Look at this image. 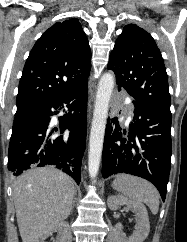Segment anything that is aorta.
I'll return each mask as SVG.
<instances>
[{"instance_id":"aorta-1","label":"aorta","mask_w":187,"mask_h":242,"mask_svg":"<svg viewBox=\"0 0 187 242\" xmlns=\"http://www.w3.org/2000/svg\"><path fill=\"white\" fill-rule=\"evenodd\" d=\"M114 84L115 77L109 72L102 75L98 84L88 153V171L92 179L97 176L100 167L109 101Z\"/></svg>"}]
</instances>
